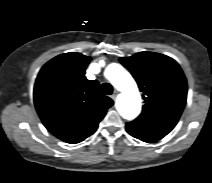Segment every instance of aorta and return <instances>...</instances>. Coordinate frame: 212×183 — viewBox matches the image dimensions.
Wrapping results in <instances>:
<instances>
[{"label": "aorta", "instance_id": "1", "mask_svg": "<svg viewBox=\"0 0 212 183\" xmlns=\"http://www.w3.org/2000/svg\"><path fill=\"white\" fill-rule=\"evenodd\" d=\"M105 77L119 90L117 110L128 120L136 118L141 110V96L132 76L120 64L111 63L105 69Z\"/></svg>", "mask_w": 212, "mask_h": 183}]
</instances>
